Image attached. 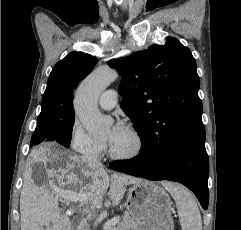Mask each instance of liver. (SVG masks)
I'll use <instances>...</instances> for the list:
<instances>
[{"label":"liver","mask_w":241,"mask_h":230,"mask_svg":"<svg viewBox=\"0 0 241 230\" xmlns=\"http://www.w3.org/2000/svg\"><path fill=\"white\" fill-rule=\"evenodd\" d=\"M30 158V164L40 167L47 179L55 178L61 187H68L67 191H62L66 195L76 193L71 188L78 185V194H85L91 203L101 201L102 193L110 187L112 204L118 205L126 191L125 186L141 181L128 175L113 174L110 184L109 175L103 166L89 165L78 155L51 149L50 146L33 149ZM32 174L31 168L24 177L21 189V230H44V226L46 230H65L66 224L54 194L46 186H37Z\"/></svg>","instance_id":"obj_1"}]
</instances>
